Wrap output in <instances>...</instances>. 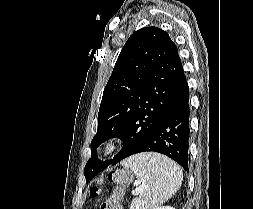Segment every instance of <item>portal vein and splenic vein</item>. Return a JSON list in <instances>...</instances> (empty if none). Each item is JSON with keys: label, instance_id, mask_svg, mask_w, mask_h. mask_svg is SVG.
I'll list each match as a JSON object with an SVG mask.
<instances>
[{"label": "portal vein and splenic vein", "instance_id": "portal-vein-and-splenic-vein-1", "mask_svg": "<svg viewBox=\"0 0 253 209\" xmlns=\"http://www.w3.org/2000/svg\"><path fill=\"white\" fill-rule=\"evenodd\" d=\"M142 192V189L141 188H136L134 191H133V194H138V193H141Z\"/></svg>", "mask_w": 253, "mask_h": 209}]
</instances>
